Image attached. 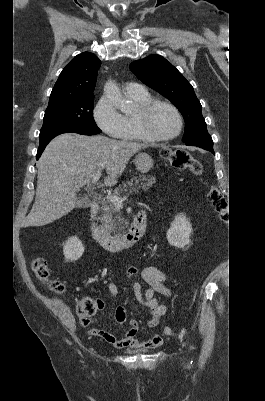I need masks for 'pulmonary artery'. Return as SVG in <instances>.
<instances>
[{
	"instance_id": "pulmonary-artery-1",
	"label": "pulmonary artery",
	"mask_w": 265,
	"mask_h": 401,
	"mask_svg": "<svg viewBox=\"0 0 265 401\" xmlns=\"http://www.w3.org/2000/svg\"><path fill=\"white\" fill-rule=\"evenodd\" d=\"M123 90L126 93H142L144 91L139 85L132 83L124 84Z\"/></svg>"
}]
</instances>
